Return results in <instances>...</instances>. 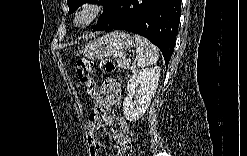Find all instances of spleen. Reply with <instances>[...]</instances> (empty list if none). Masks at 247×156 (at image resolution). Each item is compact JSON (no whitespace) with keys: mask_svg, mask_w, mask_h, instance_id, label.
<instances>
[{"mask_svg":"<svg viewBox=\"0 0 247 156\" xmlns=\"http://www.w3.org/2000/svg\"><path fill=\"white\" fill-rule=\"evenodd\" d=\"M136 42L135 62L138 66H149L156 63L159 59V50L146 38L135 34L133 36Z\"/></svg>","mask_w":247,"mask_h":156,"instance_id":"3e777b00","label":"spleen"}]
</instances>
